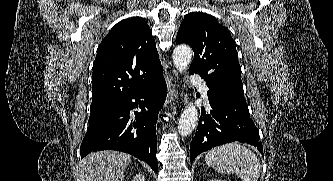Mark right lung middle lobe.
<instances>
[{"label": "right lung middle lobe", "mask_w": 333, "mask_h": 181, "mask_svg": "<svg viewBox=\"0 0 333 181\" xmlns=\"http://www.w3.org/2000/svg\"><path fill=\"white\" fill-rule=\"evenodd\" d=\"M98 111H100V110L91 111V115L94 114V113H96V112H98Z\"/></svg>", "instance_id": "obj_1"}]
</instances>
